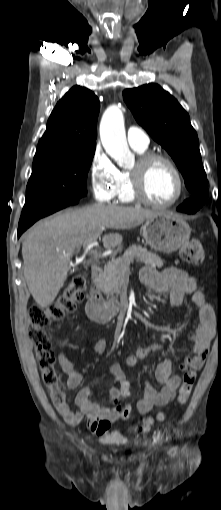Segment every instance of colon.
<instances>
[{"mask_svg": "<svg viewBox=\"0 0 221 510\" xmlns=\"http://www.w3.org/2000/svg\"><path fill=\"white\" fill-rule=\"evenodd\" d=\"M180 258L186 262L200 264L205 259V252L196 238H190L180 250ZM88 280L84 273L77 274L67 282L58 298L47 306H32L28 310L30 328L28 335L35 345L36 358L44 384L50 389V398L53 405L59 409L65 402V394L59 386V376L55 369V355L52 349V339L44 330L53 322L62 321L71 313L76 305L82 301ZM196 375L194 371H187L179 388L177 402L184 404L192 392ZM129 411L122 408V418L127 419ZM162 415L144 417L137 425L138 433H147L153 425L162 420Z\"/></svg>", "mask_w": 221, "mask_h": 510, "instance_id": "1", "label": "colon"}]
</instances>
